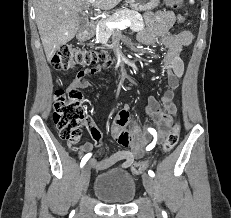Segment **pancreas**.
Instances as JSON below:
<instances>
[{
	"instance_id": "1",
	"label": "pancreas",
	"mask_w": 231,
	"mask_h": 218,
	"mask_svg": "<svg viewBox=\"0 0 231 218\" xmlns=\"http://www.w3.org/2000/svg\"><path fill=\"white\" fill-rule=\"evenodd\" d=\"M128 20L131 22L130 28L134 31L144 29V23L140 15L127 8L117 10L113 15L109 16L101 22L96 28V39L102 44H106L111 36L116 35V30L108 28L105 23L107 22H120Z\"/></svg>"
}]
</instances>
